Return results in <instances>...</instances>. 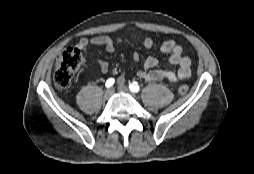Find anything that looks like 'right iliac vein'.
<instances>
[{
  "label": "right iliac vein",
  "instance_id": "63e3f726",
  "mask_svg": "<svg viewBox=\"0 0 254 174\" xmlns=\"http://www.w3.org/2000/svg\"><path fill=\"white\" fill-rule=\"evenodd\" d=\"M112 94H113V89L112 88L107 89L104 95L105 99H109L112 96Z\"/></svg>",
  "mask_w": 254,
  "mask_h": 174
}]
</instances>
